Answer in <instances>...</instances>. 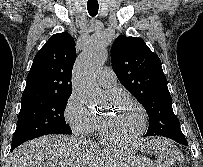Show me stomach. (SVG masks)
Wrapping results in <instances>:
<instances>
[{
	"instance_id": "1",
	"label": "stomach",
	"mask_w": 203,
	"mask_h": 167,
	"mask_svg": "<svg viewBox=\"0 0 203 167\" xmlns=\"http://www.w3.org/2000/svg\"><path fill=\"white\" fill-rule=\"evenodd\" d=\"M123 167H155L153 162L143 156H136L131 159L130 162L125 164Z\"/></svg>"
}]
</instances>
